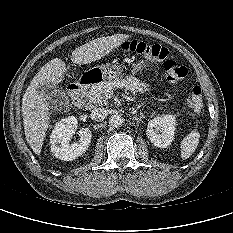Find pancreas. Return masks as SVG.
<instances>
[{"mask_svg":"<svg viewBox=\"0 0 233 233\" xmlns=\"http://www.w3.org/2000/svg\"><path fill=\"white\" fill-rule=\"evenodd\" d=\"M126 87L134 94H140L148 90V85L140 82L139 79L130 78L128 81L121 83L120 81L102 82L93 85L90 89H86L84 97L90 105H102L108 102L106 92H112L115 88Z\"/></svg>","mask_w":233,"mask_h":233,"instance_id":"obj_1","label":"pancreas"}]
</instances>
